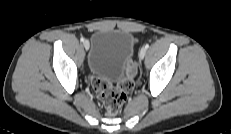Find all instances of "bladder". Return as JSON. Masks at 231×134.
Here are the masks:
<instances>
[{
	"mask_svg": "<svg viewBox=\"0 0 231 134\" xmlns=\"http://www.w3.org/2000/svg\"><path fill=\"white\" fill-rule=\"evenodd\" d=\"M132 33L120 29H100L91 37L87 67L91 75L107 83L123 81L135 52Z\"/></svg>",
	"mask_w": 231,
	"mask_h": 134,
	"instance_id": "bladder-1",
	"label": "bladder"
}]
</instances>
